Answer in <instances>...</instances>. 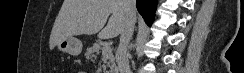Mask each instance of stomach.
I'll list each match as a JSON object with an SVG mask.
<instances>
[{
	"mask_svg": "<svg viewBox=\"0 0 244 73\" xmlns=\"http://www.w3.org/2000/svg\"><path fill=\"white\" fill-rule=\"evenodd\" d=\"M56 46L59 51L74 56L79 55L83 47L82 42L75 37H69L67 39L61 40Z\"/></svg>",
	"mask_w": 244,
	"mask_h": 73,
	"instance_id": "1",
	"label": "stomach"
}]
</instances>
